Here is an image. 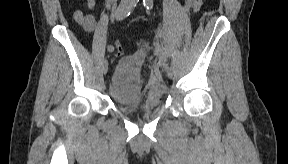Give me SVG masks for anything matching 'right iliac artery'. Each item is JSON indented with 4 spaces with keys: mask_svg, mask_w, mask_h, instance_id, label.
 Instances as JSON below:
<instances>
[{
    "mask_svg": "<svg viewBox=\"0 0 288 164\" xmlns=\"http://www.w3.org/2000/svg\"><path fill=\"white\" fill-rule=\"evenodd\" d=\"M130 13H128L129 15ZM127 16V12L124 9V7H119L116 11V19L118 21L123 20ZM108 52L112 53L114 51V46L113 45H108L107 47Z\"/></svg>",
    "mask_w": 288,
    "mask_h": 164,
    "instance_id": "right-iliac-artery-1",
    "label": "right iliac artery"
}]
</instances>
